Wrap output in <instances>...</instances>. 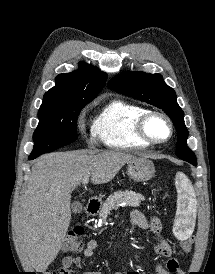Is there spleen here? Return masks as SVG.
I'll return each instance as SVG.
<instances>
[{"label":"spleen","instance_id":"3e777b00","mask_svg":"<svg viewBox=\"0 0 215 274\" xmlns=\"http://www.w3.org/2000/svg\"><path fill=\"white\" fill-rule=\"evenodd\" d=\"M175 186L178 198L173 232L178 239L184 240L191 233L188 227L196 215V198L192 183L184 173L178 172L176 174Z\"/></svg>","mask_w":215,"mask_h":274}]
</instances>
